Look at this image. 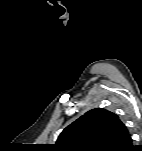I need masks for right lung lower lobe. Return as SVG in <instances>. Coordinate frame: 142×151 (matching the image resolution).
Masks as SVG:
<instances>
[{"mask_svg": "<svg viewBox=\"0 0 142 151\" xmlns=\"http://www.w3.org/2000/svg\"><path fill=\"white\" fill-rule=\"evenodd\" d=\"M132 150H134V151H135V146H134V147H132L130 151H132ZM136 150H142V148L140 147V148H137Z\"/></svg>", "mask_w": 142, "mask_h": 151, "instance_id": "1", "label": "right lung lower lobe"}]
</instances>
